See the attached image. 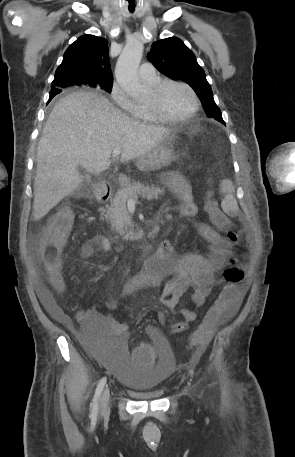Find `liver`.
Returning a JSON list of instances; mask_svg holds the SVG:
<instances>
[{"mask_svg":"<svg viewBox=\"0 0 295 457\" xmlns=\"http://www.w3.org/2000/svg\"><path fill=\"white\" fill-rule=\"evenodd\" d=\"M169 128L140 123L119 111L106 97L93 92L71 93L54 106L37 149L33 217L43 218L83 182L78 171L100 174L120 161L139 159L171 135Z\"/></svg>","mask_w":295,"mask_h":457,"instance_id":"1","label":"liver"}]
</instances>
